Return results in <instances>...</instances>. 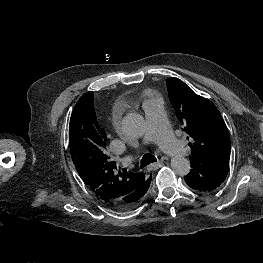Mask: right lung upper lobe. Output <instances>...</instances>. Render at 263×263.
Segmentation results:
<instances>
[{
  "label": "right lung upper lobe",
  "instance_id": "cb5924a9",
  "mask_svg": "<svg viewBox=\"0 0 263 263\" xmlns=\"http://www.w3.org/2000/svg\"><path fill=\"white\" fill-rule=\"evenodd\" d=\"M107 136L97 122L93 92L76 103L69 125L72 161L82 180L109 207H134L151 178L143 173L117 172L116 162L106 150Z\"/></svg>",
  "mask_w": 263,
  "mask_h": 263
}]
</instances>
